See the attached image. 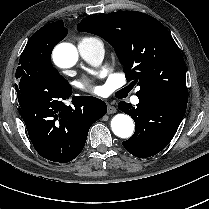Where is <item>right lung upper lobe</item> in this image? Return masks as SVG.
Wrapping results in <instances>:
<instances>
[{
    "instance_id": "right-lung-upper-lobe-1",
    "label": "right lung upper lobe",
    "mask_w": 209,
    "mask_h": 209,
    "mask_svg": "<svg viewBox=\"0 0 209 209\" xmlns=\"http://www.w3.org/2000/svg\"><path fill=\"white\" fill-rule=\"evenodd\" d=\"M41 29L53 31L59 42L67 35L68 30L64 27L63 21H57L43 26Z\"/></svg>"
}]
</instances>
